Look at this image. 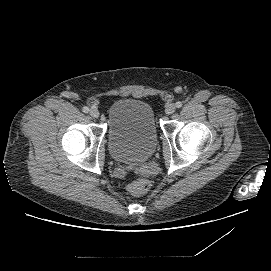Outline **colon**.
<instances>
[{
	"label": "colon",
	"instance_id": "1",
	"mask_svg": "<svg viewBox=\"0 0 271 271\" xmlns=\"http://www.w3.org/2000/svg\"><path fill=\"white\" fill-rule=\"evenodd\" d=\"M150 187V181L141 177L130 183L127 187L128 192L133 196H140L144 194Z\"/></svg>",
	"mask_w": 271,
	"mask_h": 271
}]
</instances>
